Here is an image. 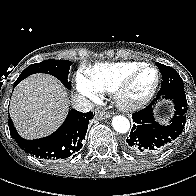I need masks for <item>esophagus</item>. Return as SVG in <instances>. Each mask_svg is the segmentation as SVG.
I'll use <instances>...</instances> for the list:
<instances>
[{
  "mask_svg": "<svg viewBox=\"0 0 196 196\" xmlns=\"http://www.w3.org/2000/svg\"><path fill=\"white\" fill-rule=\"evenodd\" d=\"M111 117V113L105 110H98L96 114V118L99 120L107 119Z\"/></svg>",
  "mask_w": 196,
  "mask_h": 196,
  "instance_id": "esophagus-1",
  "label": "esophagus"
}]
</instances>
